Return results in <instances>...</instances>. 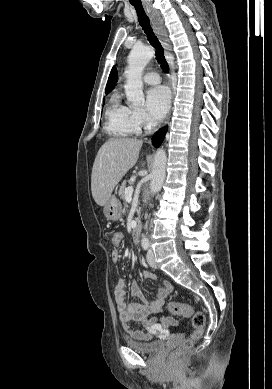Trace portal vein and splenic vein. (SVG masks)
<instances>
[{
  "mask_svg": "<svg viewBox=\"0 0 272 389\" xmlns=\"http://www.w3.org/2000/svg\"><path fill=\"white\" fill-rule=\"evenodd\" d=\"M133 194V187H127L125 189V196H132Z\"/></svg>",
  "mask_w": 272,
  "mask_h": 389,
  "instance_id": "18ae733b",
  "label": "portal vein and splenic vein"
}]
</instances>
